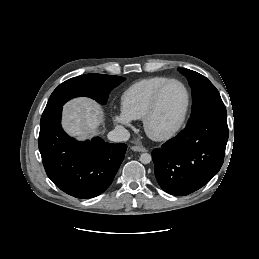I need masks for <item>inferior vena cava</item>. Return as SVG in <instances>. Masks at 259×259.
Masks as SVG:
<instances>
[{
	"label": "inferior vena cava",
	"instance_id": "602c4592",
	"mask_svg": "<svg viewBox=\"0 0 259 259\" xmlns=\"http://www.w3.org/2000/svg\"><path fill=\"white\" fill-rule=\"evenodd\" d=\"M107 137L110 141L122 142L130 138V133L123 126H116L114 130L108 133Z\"/></svg>",
	"mask_w": 259,
	"mask_h": 259
}]
</instances>
